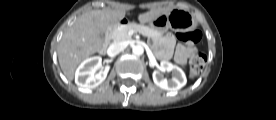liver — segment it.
Returning a JSON list of instances; mask_svg holds the SVG:
<instances>
[{
	"mask_svg": "<svg viewBox=\"0 0 276 120\" xmlns=\"http://www.w3.org/2000/svg\"><path fill=\"white\" fill-rule=\"evenodd\" d=\"M172 8H159L140 14L138 20L148 23ZM125 17L122 10H92L82 14L64 33L59 47L58 60L62 72L68 80H73L74 72L81 61L99 52L103 47L101 34L110 30Z\"/></svg>",
	"mask_w": 276,
	"mask_h": 120,
	"instance_id": "6515ba94",
	"label": "liver"
}]
</instances>
